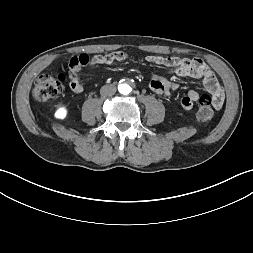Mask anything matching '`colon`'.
<instances>
[{"mask_svg":"<svg viewBox=\"0 0 253 253\" xmlns=\"http://www.w3.org/2000/svg\"><path fill=\"white\" fill-rule=\"evenodd\" d=\"M78 57V56H77ZM110 57L107 56L105 58L106 61H110ZM102 59L100 57H96L93 59V63L97 64L101 62ZM85 61H80L78 59L76 62L70 60L69 69H68V88L70 91L74 92L77 95L83 93L85 89H89L91 87V82L89 80L81 81L80 72L83 70ZM66 80L65 74H42L40 75L33 87L32 95L35 100L39 102H44L50 100L54 97H57L61 94L63 90V85ZM214 116L213 108H212V99L208 95L201 96L199 98V109L197 112V118L200 122L204 124H208L212 121Z\"/></svg>","mask_w":253,"mask_h":253,"instance_id":"colon-1","label":"colon"}]
</instances>
